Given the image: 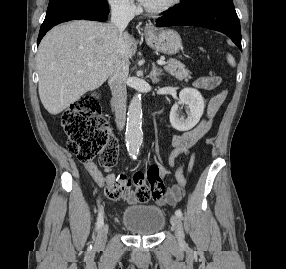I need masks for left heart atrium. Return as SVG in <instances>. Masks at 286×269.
Returning <instances> with one entry per match:
<instances>
[{
    "instance_id": "left-heart-atrium-1",
    "label": "left heart atrium",
    "mask_w": 286,
    "mask_h": 269,
    "mask_svg": "<svg viewBox=\"0 0 286 269\" xmlns=\"http://www.w3.org/2000/svg\"><path fill=\"white\" fill-rule=\"evenodd\" d=\"M141 4L145 5L148 0H138Z\"/></svg>"
}]
</instances>
